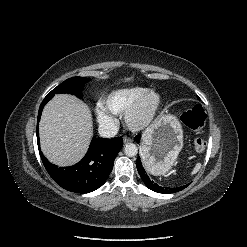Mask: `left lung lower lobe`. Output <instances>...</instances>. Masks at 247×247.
I'll return each instance as SVG.
<instances>
[{
  "label": "left lung lower lobe",
  "mask_w": 247,
  "mask_h": 247,
  "mask_svg": "<svg viewBox=\"0 0 247 247\" xmlns=\"http://www.w3.org/2000/svg\"><path fill=\"white\" fill-rule=\"evenodd\" d=\"M136 166H137V170H138L143 182L145 183V185L154 192L165 193V194L175 193V192H178V191H180V190H182L188 186V185H184V186L176 187V188L159 186L157 183H155L153 180H151L149 178V176L147 175L146 171L144 170V168L142 166L140 158H137Z\"/></svg>",
  "instance_id": "left-lung-lower-lobe-1"
}]
</instances>
